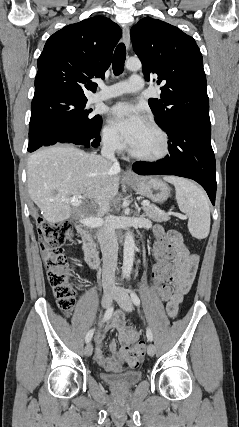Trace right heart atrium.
Here are the masks:
<instances>
[{
  "label": "right heart atrium",
  "mask_w": 239,
  "mask_h": 427,
  "mask_svg": "<svg viewBox=\"0 0 239 427\" xmlns=\"http://www.w3.org/2000/svg\"><path fill=\"white\" fill-rule=\"evenodd\" d=\"M103 146L111 152H119L123 148L121 137L111 124L106 123L101 130Z\"/></svg>",
  "instance_id": "right-heart-atrium-1"
}]
</instances>
